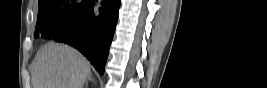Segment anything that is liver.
<instances>
[{
    "label": "liver",
    "instance_id": "liver-1",
    "mask_svg": "<svg viewBox=\"0 0 267 88\" xmlns=\"http://www.w3.org/2000/svg\"><path fill=\"white\" fill-rule=\"evenodd\" d=\"M90 64L76 49L60 43L44 45L33 64V88H83Z\"/></svg>",
    "mask_w": 267,
    "mask_h": 88
}]
</instances>
